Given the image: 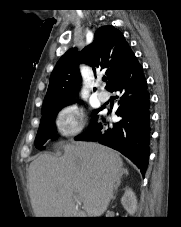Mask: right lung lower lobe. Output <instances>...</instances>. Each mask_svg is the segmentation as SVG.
<instances>
[{
	"label": "right lung lower lobe",
	"mask_w": 181,
	"mask_h": 227,
	"mask_svg": "<svg viewBox=\"0 0 181 227\" xmlns=\"http://www.w3.org/2000/svg\"><path fill=\"white\" fill-rule=\"evenodd\" d=\"M108 90L121 94L116 111L121 120L112 128L95 122L75 139L98 141L120 151L133 161L144 175L150 155L149 93L142 66L135 55L126 61L122 72Z\"/></svg>",
	"instance_id": "98d812e1"
}]
</instances>
